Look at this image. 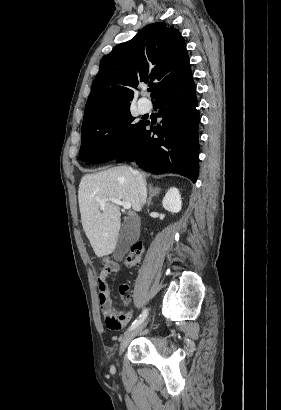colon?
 Instances as JSON below:
<instances>
[{"instance_id":"5ec220e1","label":"colon","mask_w":281,"mask_h":410,"mask_svg":"<svg viewBox=\"0 0 281 410\" xmlns=\"http://www.w3.org/2000/svg\"><path fill=\"white\" fill-rule=\"evenodd\" d=\"M144 252V246L142 243H136L133 245L130 253L125 258L124 264L128 267L137 266L140 263L141 257ZM128 288L126 285H122L119 287L120 292H127ZM104 318L106 321V325L108 328L112 330H119L122 327V318L117 316L115 313L111 311L104 312Z\"/></svg>"}]
</instances>
